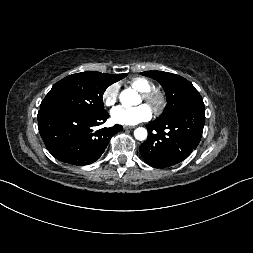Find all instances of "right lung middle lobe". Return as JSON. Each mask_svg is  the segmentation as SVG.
<instances>
[{"label": "right lung middle lobe", "instance_id": "dd1d6c3e", "mask_svg": "<svg viewBox=\"0 0 253 253\" xmlns=\"http://www.w3.org/2000/svg\"><path fill=\"white\" fill-rule=\"evenodd\" d=\"M126 75L124 74V77ZM118 80L109 74L94 71L69 75L52 87L41 102L40 110H62L99 115L105 112L102 101L104 91Z\"/></svg>", "mask_w": 253, "mask_h": 253}]
</instances>
